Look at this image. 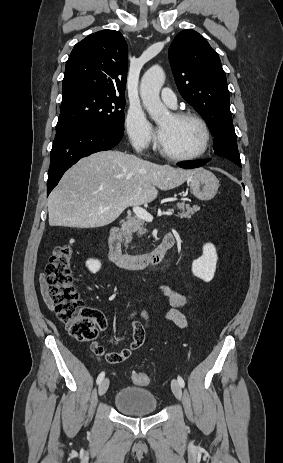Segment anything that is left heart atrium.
Instances as JSON below:
<instances>
[{
	"label": "left heart atrium",
	"mask_w": 283,
	"mask_h": 463,
	"mask_svg": "<svg viewBox=\"0 0 283 463\" xmlns=\"http://www.w3.org/2000/svg\"><path fill=\"white\" fill-rule=\"evenodd\" d=\"M161 136H162V132H161V130L159 129V133H158L159 140L161 139Z\"/></svg>",
	"instance_id": "left-heart-atrium-1"
}]
</instances>
